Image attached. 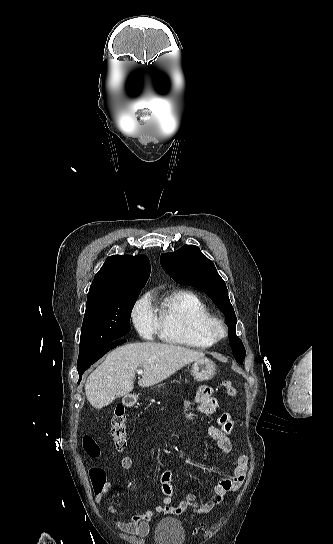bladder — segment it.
<instances>
[{
	"label": "bladder",
	"mask_w": 333,
	"mask_h": 544,
	"mask_svg": "<svg viewBox=\"0 0 333 544\" xmlns=\"http://www.w3.org/2000/svg\"><path fill=\"white\" fill-rule=\"evenodd\" d=\"M155 544H184L185 531L181 522L174 518L160 520L154 531Z\"/></svg>",
	"instance_id": "31cf9c89"
}]
</instances>
